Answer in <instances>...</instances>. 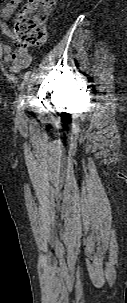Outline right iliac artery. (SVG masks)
<instances>
[{
    "instance_id": "82829eb1",
    "label": "right iliac artery",
    "mask_w": 127,
    "mask_h": 303,
    "mask_svg": "<svg viewBox=\"0 0 127 303\" xmlns=\"http://www.w3.org/2000/svg\"><path fill=\"white\" fill-rule=\"evenodd\" d=\"M26 83H27V79L25 80V82L20 87V97H19L20 106L19 107H21L23 105L24 99L26 97V90H25Z\"/></svg>"
}]
</instances>
